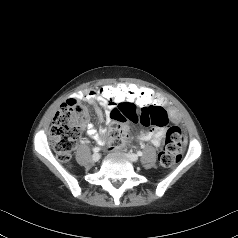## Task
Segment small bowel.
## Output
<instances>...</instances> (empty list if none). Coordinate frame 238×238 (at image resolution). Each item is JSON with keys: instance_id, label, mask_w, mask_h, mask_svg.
<instances>
[{"instance_id": "c3829d8e", "label": "small bowel", "mask_w": 238, "mask_h": 238, "mask_svg": "<svg viewBox=\"0 0 238 238\" xmlns=\"http://www.w3.org/2000/svg\"><path fill=\"white\" fill-rule=\"evenodd\" d=\"M70 101L83 100L87 103H98L96 108V114L100 120H103L105 124H110L113 120L110 117L111 111L121 105L122 103H107L99 99L97 95V90H91L88 92L77 93L73 98L68 99ZM125 103V102H123ZM169 115L171 122H176L179 119V112L175 108H163ZM82 125L86 128L87 134L94 138L99 143L105 142V134L103 130H99L92 122L89 121V116L87 112H84V115L81 119ZM165 136V129L159 127H153L148 131H142L139 133L138 137L144 142H149L154 146H160L163 142Z\"/></svg>"}]
</instances>
